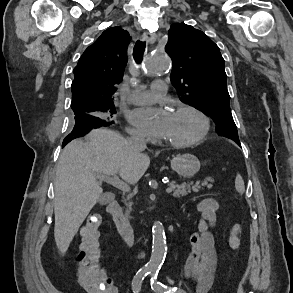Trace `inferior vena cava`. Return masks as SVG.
<instances>
[{"mask_svg":"<svg viewBox=\"0 0 293 293\" xmlns=\"http://www.w3.org/2000/svg\"><path fill=\"white\" fill-rule=\"evenodd\" d=\"M128 141L131 147L136 151H141L146 148L145 138L140 133H133Z\"/></svg>","mask_w":293,"mask_h":293,"instance_id":"602c4592","label":"inferior vena cava"}]
</instances>
